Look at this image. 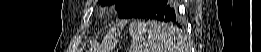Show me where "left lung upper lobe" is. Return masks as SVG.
Instances as JSON below:
<instances>
[{
    "instance_id": "5c2ea615",
    "label": "left lung upper lobe",
    "mask_w": 261,
    "mask_h": 52,
    "mask_svg": "<svg viewBox=\"0 0 261 52\" xmlns=\"http://www.w3.org/2000/svg\"><path fill=\"white\" fill-rule=\"evenodd\" d=\"M104 6L116 4L120 18L137 17L144 9L150 6L155 0H98Z\"/></svg>"
}]
</instances>
